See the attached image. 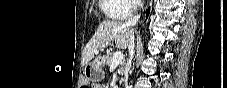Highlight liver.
<instances>
[{"mask_svg": "<svg viewBox=\"0 0 227 88\" xmlns=\"http://www.w3.org/2000/svg\"><path fill=\"white\" fill-rule=\"evenodd\" d=\"M132 29L124 26L119 21L106 20L99 24L95 34L85 46L82 56L83 64H87L93 59L95 54L107 45L110 41L115 40L118 49H126L130 42Z\"/></svg>", "mask_w": 227, "mask_h": 88, "instance_id": "6515ba94", "label": "liver"}]
</instances>
